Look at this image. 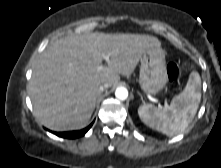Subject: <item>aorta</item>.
<instances>
[{
    "mask_svg": "<svg viewBox=\"0 0 221 168\" xmlns=\"http://www.w3.org/2000/svg\"><path fill=\"white\" fill-rule=\"evenodd\" d=\"M115 96L119 100H126L128 97V90L124 87H118L115 91Z\"/></svg>",
    "mask_w": 221,
    "mask_h": 168,
    "instance_id": "obj_1",
    "label": "aorta"
}]
</instances>
